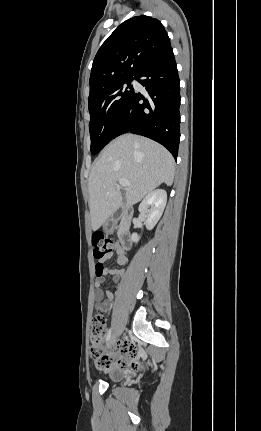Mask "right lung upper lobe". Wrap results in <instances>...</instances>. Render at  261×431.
<instances>
[{
	"instance_id": "right-lung-upper-lobe-1",
	"label": "right lung upper lobe",
	"mask_w": 261,
	"mask_h": 431,
	"mask_svg": "<svg viewBox=\"0 0 261 431\" xmlns=\"http://www.w3.org/2000/svg\"><path fill=\"white\" fill-rule=\"evenodd\" d=\"M171 46L161 22L135 16L120 24L98 50L91 69L90 93L136 77L152 59Z\"/></svg>"
}]
</instances>
